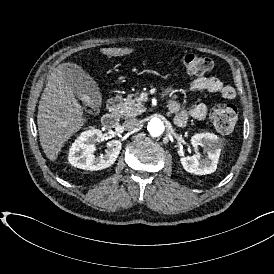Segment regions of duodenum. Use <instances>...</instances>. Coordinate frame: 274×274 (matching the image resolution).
Wrapping results in <instances>:
<instances>
[{
	"label": "duodenum",
	"instance_id": "1",
	"mask_svg": "<svg viewBox=\"0 0 274 274\" xmlns=\"http://www.w3.org/2000/svg\"><path fill=\"white\" fill-rule=\"evenodd\" d=\"M120 104L121 99L118 96H112L108 101V112L102 117V125L106 129H115L120 122Z\"/></svg>",
	"mask_w": 274,
	"mask_h": 274
}]
</instances>
